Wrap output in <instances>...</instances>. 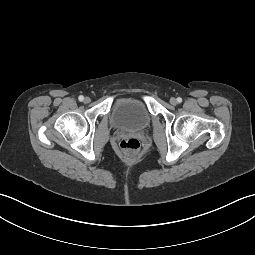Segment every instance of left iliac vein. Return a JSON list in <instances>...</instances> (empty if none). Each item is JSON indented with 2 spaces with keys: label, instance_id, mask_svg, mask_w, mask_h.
<instances>
[{
  "label": "left iliac vein",
  "instance_id": "1",
  "mask_svg": "<svg viewBox=\"0 0 255 255\" xmlns=\"http://www.w3.org/2000/svg\"><path fill=\"white\" fill-rule=\"evenodd\" d=\"M170 103H171L172 105H176V104H177V100H176L174 97H172V98L170 99Z\"/></svg>",
  "mask_w": 255,
  "mask_h": 255
}]
</instances>
